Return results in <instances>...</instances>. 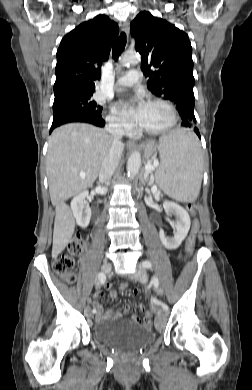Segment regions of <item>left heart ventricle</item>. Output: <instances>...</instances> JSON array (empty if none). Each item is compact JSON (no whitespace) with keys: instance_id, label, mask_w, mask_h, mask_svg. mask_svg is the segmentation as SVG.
<instances>
[{"instance_id":"left-heart-ventricle-1","label":"left heart ventricle","mask_w":252,"mask_h":390,"mask_svg":"<svg viewBox=\"0 0 252 390\" xmlns=\"http://www.w3.org/2000/svg\"><path fill=\"white\" fill-rule=\"evenodd\" d=\"M171 121L169 109L161 103L146 104L139 125L147 130L166 127Z\"/></svg>"}]
</instances>
